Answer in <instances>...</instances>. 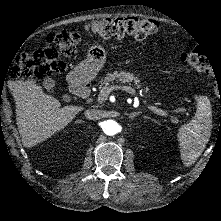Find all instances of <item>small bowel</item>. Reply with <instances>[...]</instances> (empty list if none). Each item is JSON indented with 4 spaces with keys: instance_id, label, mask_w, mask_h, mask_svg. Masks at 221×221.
Returning <instances> with one entry per match:
<instances>
[{
    "instance_id": "1",
    "label": "small bowel",
    "mask_w": 221,
    "mask_h": 221,
    "mask_svg": "<svg viewBox=\"0 0 221 221\" xmlns=\"http://www.w3.org/2000/svg\"><path fill=\"white\" fill-rule=\"evenodd\" d=\"M130 62H132V59L126 60V63H130Z\"/></svg>"
}]
</instances>
